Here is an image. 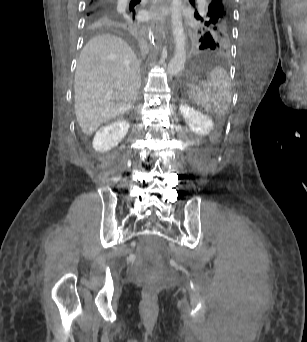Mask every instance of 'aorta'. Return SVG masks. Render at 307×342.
Instances as JSON below:
<instances>
[{
    "mask_svg": "<svg viewBox=\"0 0 307 342\" xmlns=\"http://www.w3.org/2000/svg\"><path fill=\"white\" fill-rule=\"evenodd\" d=\"M182 0H172L171 24L175 42V54L168 64L169 74H178L186 62V42L181 14Z\"/></svg>",
    "mask_w": 307,
    "mask_h": 342,
    "instance_id": "1",
    "label": "aorta"
}]
</instances>
